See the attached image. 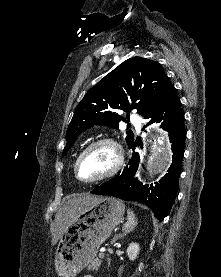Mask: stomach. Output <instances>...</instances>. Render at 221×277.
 <instances>
[{
	"mask_svg": "<svg viewBox=\"0 0 221 277\" xmlns=\"http://www.w3.org/2000/svg\"><path fill=\"white\" fill-rule=\"evenodd\" d=\"M123 215L122 203L109 197H100L79 211L59 240L55 253L57 273L62 277L79 274L94 260Z\"/></svg>",
	"mask_w": 221,
	"mask_h": 277,
	"instance_id": "1",
	"label": "stomach"
}]
</instances>
